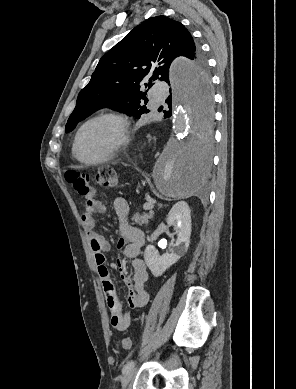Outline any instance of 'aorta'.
<instances>
[{
	"label": "aorta",
	"instance_id": "1",
	"mask_svg": "<svg viewBox=\"0 0 296 389\" xmlns=\"http://www.w3.org/2000/svg\"><path fill=\"white\" fill-rule=\"evenodd\" d=\"M170 94L175 108V134L167 140L154 170L157 190L168 197H186L202 189L212 166L214 150L211 73L191 67L180 57L170 69Z\"/></svg>",
	"mask_w": 296,
	"mask_h": 389
}]
</instances>
